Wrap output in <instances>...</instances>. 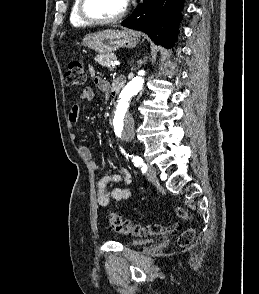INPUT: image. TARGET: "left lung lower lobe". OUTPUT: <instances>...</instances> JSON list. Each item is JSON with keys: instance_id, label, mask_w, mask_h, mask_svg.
<instances>
[{"instance_id": "1", "label": "left lung lower lobe", "mask_w": 259, "mask_h": 294, "mask_svg": "<svg viewBox=\"0 0 259 294\" xmlns=\"http://www.w3.org/2000/svg\"><path fill=\"white\" fill-rule=\"evenodd\" d=\"M183 0H142L134 12L121 25L140 30L165 47H173Z\"/></svg>"}]
</instances>
